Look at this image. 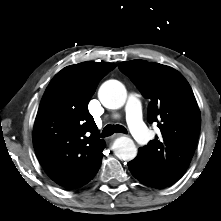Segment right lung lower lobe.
Segmentation results:
<instances>
[{
	"mask_svg": "<svg viewBox=\"0 0 221 221\" xmlns=\"http://www.w3.org/2000/svg\"><path fill=\"white\" fill-rule=\"evenodd\" d=\"M100 165L98 166V168L95 170V172L93 173L92 177L89 179V181L95 176V174L97 173L98 169H99ZM88 181V182H89Z\"/></svg>",
	"mask_w": 221,
	"mask_h": 221,
	"instance_id": "1",
	"label": "right lung lower lobe"
}]
</instances>
